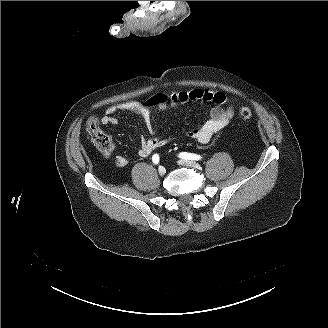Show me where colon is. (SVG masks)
Instances as JSON below:
<instances>
[{
  "instance_id": "obj_1",
  "label": "colon",
  "mask_w": 328,
  "mask_h": 328,
  "mask_svg": "<svg viewBox=\"0 0 328 328\" xmlns=\"http://www.w3.org/2000/svg\"><path fill=\"white\" fill-rule=\"evenodd\" d=\"M168 101H170L169 95L157 94L151 97L146 105H164ZM239 117L242 120H249L252 117V111L248 107H242L239 111ZM86 131L98 150L102 153H109L112 151V139L100 128L99 121L96 117L89 118L86 124Z\"/></svg>"
}]
</instances>
